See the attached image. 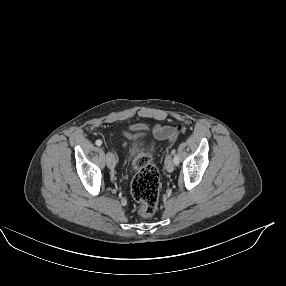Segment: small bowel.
Wrapping results in <instances>:
<instances>
[{"instance_id": "c3829d8e", "label": "small bowel", "mask_w": 286, "mask_h": 286, "mask_svg": "<svg viewBox=\"0 0 286 286\" xmlns=\"http://www.w3.org/2000/svg\"><path fill=\"white\" fill-rule=\"evenodd\" d=\"M143 128L144 127H140V129ZM181 130L182 127L179 124H175L173 126L154 125L152 127V132L158 139L167 140L169 142H174Z\"/></svg>"}]
</instances>
